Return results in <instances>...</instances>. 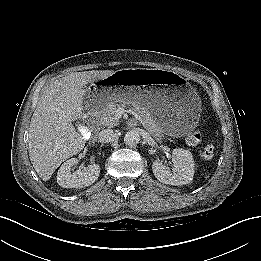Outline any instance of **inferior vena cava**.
Wrapping results in <instances>:
<instances>
[{"label":"inferior vena cava","instance_id":"obj_1","mask_svg":"<svg viewBox=\"0 0 261 261\" xmlns=\"http://www.w3.org/2000/svg\"><path fill=\"white\" fill-rule=\"evenodd\" d=\"M113 130L111 129H104L102 131L99 132V135H98V140L101 142V143H107L111 140L112 136H113Z\"/></svg>","mask_w":261,"mask_h":261}]
</instances>
